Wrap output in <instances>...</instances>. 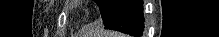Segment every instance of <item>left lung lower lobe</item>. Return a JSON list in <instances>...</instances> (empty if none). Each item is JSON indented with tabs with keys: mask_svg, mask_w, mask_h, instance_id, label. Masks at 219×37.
<instances>
[{
	"mask_svg": "<svg viewBox=\"0 0 219 37\" xmlns=\"http://www.w3.org/2000/svg\"><path fill=\"white\" fill-rule=\"evenodd\" d=\"M105 28L141 37L144 31L142 0H122Z\"/></svg>",
	"mask_w": 219,
	"mask_h": 37,
	"instance_id": "left-lung-lower-lobe-1",
	"label": "left lung lower lobe"
}]
</instances>
